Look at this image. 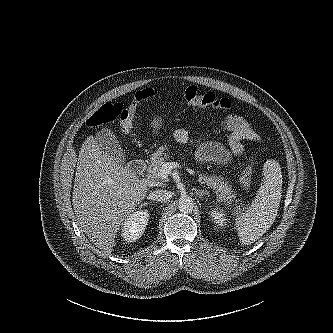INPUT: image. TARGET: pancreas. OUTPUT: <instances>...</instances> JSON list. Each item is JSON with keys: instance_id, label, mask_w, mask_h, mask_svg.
<instances>
[{"instance_id": "cf45deb5", "label": "pancreas", "mask_w": 333, "mask_h": 333, "mask_svg": "<svg viewBox=\"0 0 333 333\" xmlns=\"http://www.w3.org/2000/svg\"><path fill=\"white\" fill-rule=\"evenodd\" d=\"M163 151L164 148H160L151 156V162L147 171L150 178L154 182L166 181V178H163L159 175L162 165L169 158V156ZM198 182L201 184H206L208 188L213 189L219 201L227 204H231L235 201L234 191L232 190L229 182L224 180L223 177L200 174Z\"/></svg>"}]
</instances>
